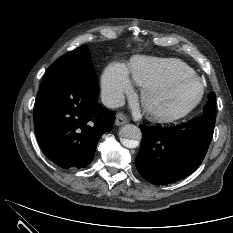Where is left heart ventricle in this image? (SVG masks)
Wrapping results in <instances>:
<instances>
[{
	"mask_svg": "<svg viewBox=\"0 0 233 233\" xmlns=\"http://www.w3.org/2000/svg\"><path fill=\"white\" fill-rule=\"evenodd\" d=\"M200 93V85L193 80L181 81L157 90L150 96V103L161 110L177 113L191 105Z\"/></svg>",
	"mask_w": 233,
	"mask_h": 233,
	"instance_id": "1",
	"label": "left heart ventricle"
}]
</instances>
